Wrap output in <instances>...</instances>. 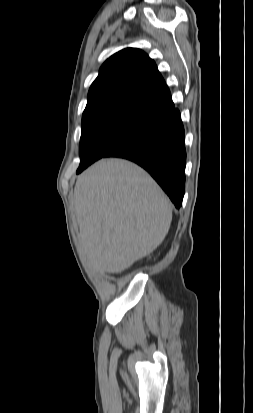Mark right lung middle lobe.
I'll return each mask as SVG.
<instances>
[{"mask_svg":"<svg viewBox=\"0 0 253 413\" xmlns=\"http://www.w3.org/2000/svg\"><path fill=\"white\" fill-rule=\"evenodd\" d=\"M158 121L140 111L115 108L82 117L80 165L77 174Z\"/></svg>","mask_w":253,"mask_h":413,"instance_id":"obj_1","label":"right lung middle lobe"}]
</instances>
